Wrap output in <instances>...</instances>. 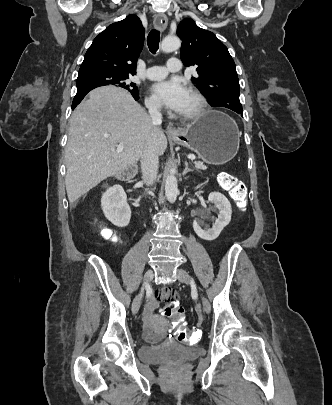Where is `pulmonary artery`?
<instances>
[{
	"mask_svg": "<svg viewBox=\"0 0 332 405\" xmlns=\"http://www.w3.org/2000/svg\"><path fill=\"white\" fill-rule=\"evenodd\" d=\"M181 70V62L178 58L172 57L168 60L166 66H151L147 69L145 75L150 80L163 79L168 72H178Z\"/></svg>",
	"mask_w": 332,
	"mask_h": 405,
	"instance_id": "pulmonary-artery-1",
	"label": "pulmonary artery"
}]
</instances>
